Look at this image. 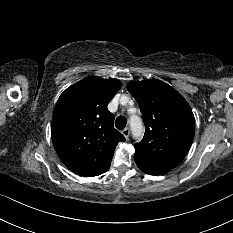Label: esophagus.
Wrapping results in <instances>:
<instances>
[{
  "label": "esophagus",
  "instance_id": "1",
  "mask_svg": "<svg viewBox=\"0 0 233 233\" xmlns=\"http://www.w3.org/2000/svg\"><path fill=\"white\" fill-rule=\"evenodd\" d=\"M122 134L124 135V137L126 139H128L129 134H130V129L129 128H125L124 130H122Z\"/></svg>",
  "mask_w": 233,
  "mask_h": 233
}]
</instances>
